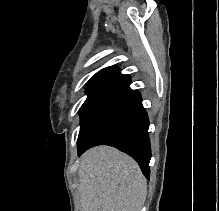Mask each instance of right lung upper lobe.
<instances>
[{"mask_svg": "<svg viewBox=\"0 0 219 211\" xmlns=\"http://www.w3.org/2000/svg\"><path fill=\"white\" fill-rule=\"evenodd\" d=\"M128 78V75H123L118 68L113 66L104 68L97 72L86 84V93L96 91H111L118 84Z\"/></svg>", "mask_w": 219, "mask_h": 211, "instance_id": "1", "label": "right lung upper lobe"}]
</instances>
